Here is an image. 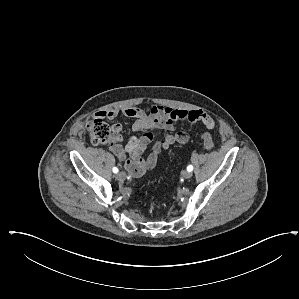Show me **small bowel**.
Masks as SVG:
<instances>
[{
    "instance_id": "small-bowel-1",
    "label": "small bowel",
    "mask_w": 299,
    "mask_h": 299,
    "mask_svg": "<svg viewBox=\"0 0 299 299\" xmlns=\"http://www.w3.org/2000/svg\"><path fill=\"white\" fill-rule=\"evenodd\" d=\"M120 114L134 120L132 128L136 135L122 145L123 126L120 123L113 124L110 150L124 163L125 169L134 177H140L154 168L162 150L176 143L185 144L196 123L201 122L208 129L215 127L213 118L204 110H183L154 105L148 112L136 107H127L121 110H101L96 113L98 117L109 120L116 119ZM179 120L187 121L189 127L173 132ZM152 141L154 144L151 153L146 159L142 158L143 151Z\"/></svg>"
}]
</instances>
